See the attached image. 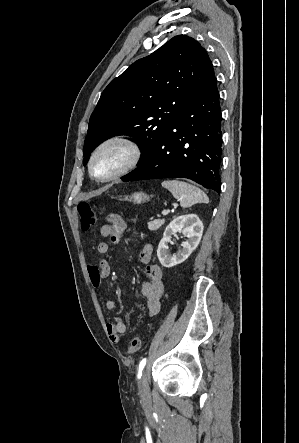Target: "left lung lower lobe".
I'll return each mask as SVG.
<instances>
[{"mask_svg":"<svg viewBox=\"0 0 299 443\" xmlns=\"http://www.w3.org/2000/svg\"><path fill=\"white\" fill-rule=\"evenodd\" d=\"M221 119L213 74L173 120L151 153L122 180L183 177L219 193Z\"/></svg>","mask_w":299,"mask_h":443,"instance_id":"obj_1","label":"left lung lower lobe"}]
</instances>
